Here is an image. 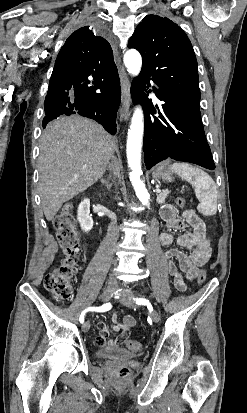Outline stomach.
<instances>
[{
	"mask_svg": "<svg viewBox=\"0 0 247 413\" xmlns=\"http://www.w3.org/2000/svg\"><path fill=\"white\" fill-rule=\"evenodd\" d=\"M173 168L171 166H168V168H165V166H158L157 170H154L153 176H157V178H163V180H167V182H172L174 176H173Z\"/></svg>",
	"mask_w": 247,
	"mask_h": 413,
	"instance_id": "0dacf381",
	"label": "stomach"
}]
</instances>
